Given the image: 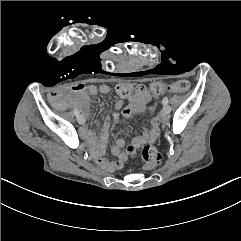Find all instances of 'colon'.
Masks as SVG:
<instances>
[{
    "label": "colon",
    "instance_id": "1",
    "mask_svg": "<svg viewBox=\"0 0 241 241\" xmlns=\"http://www.w3.org/2000/svg\"><path fill=\"white\" fill-rule=\"evenodd\" d=\"M193 84L190 82H179L176 83L172 89L171 86L165 87L166 93H171L172 90L176 93H184L187 91H190L193 89ZM114 93L117 94L118 97H123L124 94L127 96L133 91V86L130 84V82L126 79H119L117 84H114L113 86ZM162 91V86L158 82H151L149 84V92L151 94H159ZM141 158L145 163L143 164V169L146 172H150L155 169L156 166L160 164L161 154L160 152L151 144H148L143 147L141 151ZM115 165L117 167H122L123 162L120 160L115 161Z\"/></svg>",
    "mask_w": 241,
    "mask_h": 241
}]
</instances>
